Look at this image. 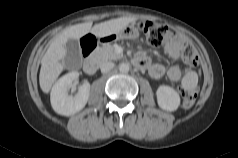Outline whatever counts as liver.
I'll use <instances>...</instances> for the list:
<instances>
[{
    "label": "liver",
    "instance_id": "obj_1",
    "mask_svg": "<svg viewBox=\"0 0 238 158\" xmlns=\"http://www.w3.org/2000/svg\"><path fill=\"white\" fill-rule=\"evenodd\" d=\"M134 20L133 17H121L96 24L93 27L92 22H86L63 30L53 39L42 58L39 74L42 91L49 93L53 83L65 68L66 42L69 39H80L90 32L96 37H106L120 31Z\"/></svg>",
    "mask_w": 238,
    "mask_h": 158
}]
</instances>
